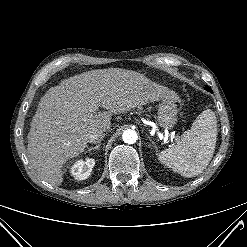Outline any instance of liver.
Returning a JSON list of instances; mask_svg holds the SVG:
<instances>
[{
    "label": "liver",
    "instance_id": "6515ba94",
    "mask_svg": "<svg viewBox=\"0 0 247 247\" xmlns=\"http://www.w3.org/2000/svg\"><path fill=\"white\" fill-rule=\"evenodd\" d=\"M178 95L130 70L98 69L75 75L50 88L41 98L28 133V156L41 179L63 182V165L87 145V136L109 130L113 113ZM105 112H96L98 107ZM97 107V109H96Z\"/></svg>",
    "mask_w": 247,
    "mask_h": 247
}]
</instances>
